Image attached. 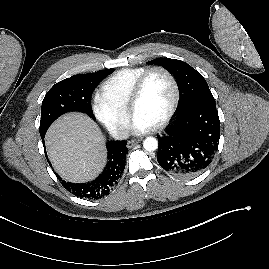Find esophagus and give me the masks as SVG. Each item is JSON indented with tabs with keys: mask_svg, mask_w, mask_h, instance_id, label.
Segmentation results:
<instances>
[{
	"mask_svg": "<svg viewBox=\"0 0 269 269\" xmlns=\"http://www.w3.org/2000/svg\"><path fill=\"white\" fill-rule=\"evenodd\" d=\"M139 141L140 140H129L128 142H127V148H132V147H134L137 143H139Z\"/></svg>",
	"mask_w": 269,
	"mask_h": 269,
	"instance_id": "34e87169",
	"label": "esophagus"
}]
</instances>
